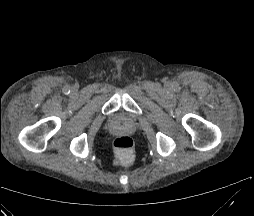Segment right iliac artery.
Returning a JSON list of instances; mask_svg holds the SVG:
<instances>
[{
  "label": "right iliac artery",
  "instance_id": "82829eb1",
  "mask_svg": "<svg viewBox=\"0 0 254 216\" xmlns=\"http://www.w3.org/2000/svg\"><path fill=\"white\" fill-rule=\"evenodd\" d=\"M63 92H64L65 94H68V93L70 92V89H69L68 87H65V88L63 89Z\"/></svg>",
  "mask_w": 254,
  "mask_h": 216
}]
</instances>
